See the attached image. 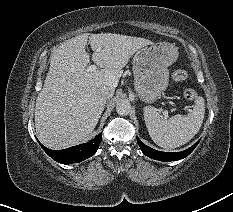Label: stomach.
<instances>
[{
	"instance_id": "stomach-1",
	"label": "stomach",
	"mask_w": 233,
	"mask_h": 212,
	"mask_svg": "<svg viewBox=\"0 0 233 212\" xmlns=\"http://www.w3.org/2000/svg\"><path fill=\"white\" fill-rule=\"evenodd\" d=\"M178 58V48L168 42H158L141 49L133 60L135 90L140 99L152 103L169 83L168 67Z\"/></svg>"
}]
</instances>
